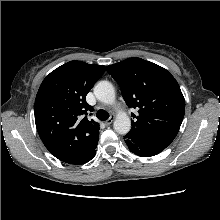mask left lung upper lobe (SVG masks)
<instances>
[{"label":"left lung upper lobe","instance_id":"obj_1","mask_svg":"<svg viewBox=\"0 0 220 220\" xmlns=\"http://www.w3.org/2000/svg\"><path fill=\"white\" fill-rule=\"evenodd\" d=\"M132 113L127 134L134 143L166 148L176 137L185 113V99L175 78L166 69L141 58L107 66Z\"/></svg>","mask_w":220,"mask_h":220}]
</instances>
